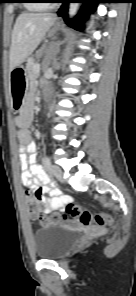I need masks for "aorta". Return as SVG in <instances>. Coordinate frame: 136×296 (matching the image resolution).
Returning <instances> with one entry per match:
<instances>
[{"instance_id": "aorta-1", "label": "aorta", "mask_w": 136, "mask_h": 296, "mask_svg": "<svg viewBox=\"0 0 136 296\" xmlns=\"http://www.w3.org/2000/svg\"><path fill=\"white\" fill-rule=\"evenodd\" d=\"M78 9V3H70L69 5V18H73L77 12Z\"/></svg>"}]
</instances>
